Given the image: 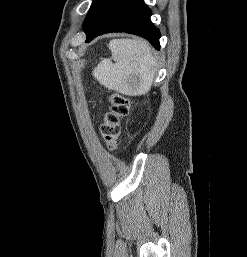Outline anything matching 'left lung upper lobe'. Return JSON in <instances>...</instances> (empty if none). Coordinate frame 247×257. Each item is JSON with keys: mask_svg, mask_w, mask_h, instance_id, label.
Here are the masks:
<instances>
[{"mask_svg": "<svg viewBox=\"0 0 247 257\" xmlns=\"http://www.w3.org/2000/svg\"><path fill=\"white\" fill-rule=\"evenodd\" d=\"M96 2H97V0H94V1H93L92 5H91V8H90V10H89V13H88V15H87L86 18H85L84 24L86 23V21H87V19H88V17H89V15H90V13H91V11H92V9H93V7H94V5H95Z\"/></svg>", "mask_w": 247, "mask_h": 257, "instance_id": "obj_1", "label": "left lung upper lobe"}]
</instances>
